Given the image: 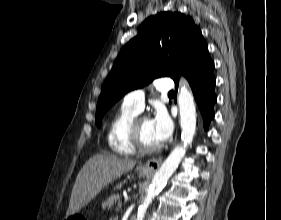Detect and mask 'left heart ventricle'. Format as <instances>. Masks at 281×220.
Here are the masks:
<instances>
[{
	"label": "left heart ventricle",
	"mask_w": 281,
	"mask_h": 220,
	"mask_svg": "<svg viewBox=\"0 0 281 220\" xmlns=\"http://www.w3.org/2000/svg\"><path fill=\"white\" fill-rule=\"evenodd\" d=\"M139 131H140L141 140L144 145L148 147L159 145V142L154 136L152 124L149 119L141 120L139 124Z\"/></svg>",
	"instance_id": "1"
}]
</instances>
